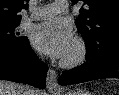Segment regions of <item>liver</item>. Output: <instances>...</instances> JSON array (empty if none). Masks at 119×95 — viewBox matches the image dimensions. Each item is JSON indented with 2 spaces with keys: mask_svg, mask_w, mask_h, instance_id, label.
I'll return each mask as SVG.
<instances>
[{
  "mask_svg": "<svg viewBox=\"0 0 119 95\" xmlns=\"http://www.w3.org/2000/svg\"><path fill=\"white\" fill-rule=\"evenodd\" d=\"M24 85L0 80V95H21ZM32 95H43L39 90H32Z\"/></svg>",
  "mask_w": 119,
  "mask_h": 95,
  "instance_id": "1",
  "label": "liver"
}]
</instances>
